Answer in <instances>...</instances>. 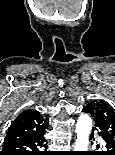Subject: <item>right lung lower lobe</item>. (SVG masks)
I'll return each mask as SVG.
<instances>
[{"label":"right lung lower lobe","instance_id":"1","mask_svg":"<svg viewBox=\"0 0 115 155\" xmlns=\"http://www.w3.org/2000/svg\"><path fill=\"white\" fill-rule=\"evenodd\" d=\"M45 133L22 141L6 144L3 146L2 151H0V155H50L45 150L47 148Z\"/></svg>","mask_w":115,"mask_h":155}]
</instances>
